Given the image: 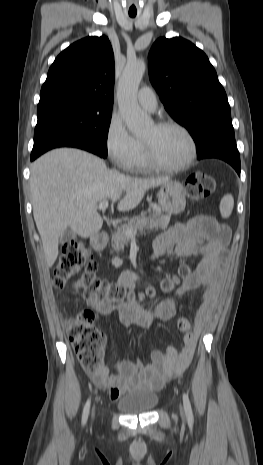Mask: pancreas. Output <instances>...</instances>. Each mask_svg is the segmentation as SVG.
Here are the masks:
<instances>
[{
  "label": "pancreas",
  "instance_id": "1",
  "mask_svg": "<svg viewBox=\"0 0 263 465\" xmlns=\"http://www.w3.org/2000/svg\"><path fill=\"white\" fill-rule=\"evenodd\" d=\"M148 213L149 215H147V212H142L140 216L131 218L126 224L112 234V248L114 250L117 252L123 251L124 246L129 244L132 237L126 234L127 230H165L168 227L170 216L162 215L159 210H153V212L149 211ZM112 264L118 267L122 264V260L119 257H115L112 260Z\"/></svg>",
  "mask_w": 263,
  "mask_h": 465
}]
</instances>
